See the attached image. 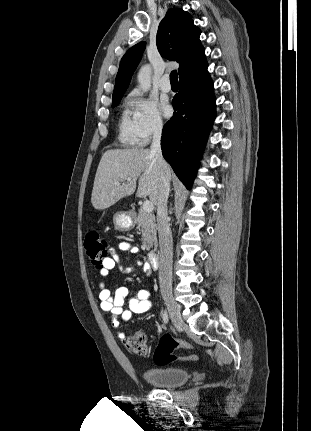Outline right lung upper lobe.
Here are the masks:
<instances>
[{"mask_svg":"<svg viewBox=\"0 0 311 431\" xmlns=\"http://www.w3.org/2000/svg\"><path fill=\"white\" fill-rule=\"evenodd\" d=\"M201 30L193 24L188 12L171 8L159 24L156 44L162 57L179 63V79L193 75L206 65L204 48L199 36ZM145 43L131 47L121 59L115 80L113 98L123 96L131 76L141 60Z\"/></svg>","mask_w":311,"mask_h":431,"instance_id":"right-lung-upper-lobe-1","label":"right lung upper lobe"}]
</instances>
